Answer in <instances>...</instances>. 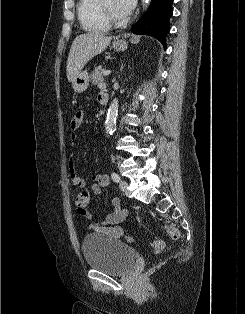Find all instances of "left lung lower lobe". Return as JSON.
<instances>
[{"mask_svg":"<svg viewBox=\"0 0 245 314\" xmlns=\"http://www.w3.org/2000/svg\"><path fill=\"white\" fill-rule=\"evenodd\" d=\"M173 0H151L149 9L132 27L134 34H144L157 38L166 47L165 36L169 32V19L173 14Z\"/></svg>","mask_w":245,"mask_h":314,"instance_id":"1","label":"left lung lower lobe"}]
</instances>
